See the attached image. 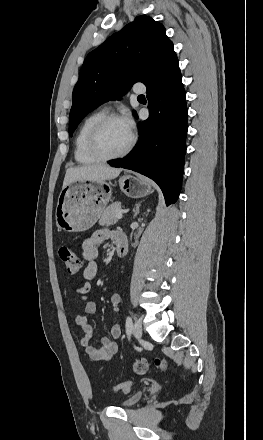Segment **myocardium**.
I'll list each match as a JSON object with an SVG mask.
<instances>
[{"mask_svg":"<svg viewBox=\"0 0 263 440\" xmlns=\"http://www.w3.org/2000/svg\"><path fill=\"white\" fill-rule=\"evenodd\" d=\"M112 121H122L125 122V118L119 114L115 113H109L104 114L102 117H100L91 127L88 137H87V150L90 153L91 156H93L95 159L99 161H109L118 159L121 157L126 156L134 147L136 142V136L132 130V128H129V140L128 143L125 145V147L120 150L117 153L114 154H107L104 153L99 145V136L101 130Z\"/></svg>","mask_w":263,"mask_h":440,"instance_id":"1","label":"myocardium"}]
</instances>
